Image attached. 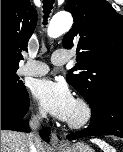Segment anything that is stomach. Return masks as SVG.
Segmentation results:
<instances>
[{
    "mask_svg": "<svg viewBox=\"0 0 123 152\" xmlns=\"http://www.w3.org/2000/svg\"><path fill=\"white\" fill-rule=\"evenodd\" d=\"M58 152H94V150L90 148L87 144L78 142L73 144L72 146L59 149Z\"/></svg>",
    "mask_w": 123,
    "mask_h": 152,
    "instance_id": "obj_1",
    "label": "stomach"
}]
</instances>
